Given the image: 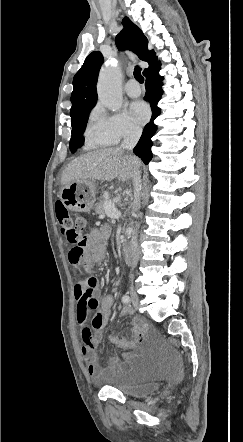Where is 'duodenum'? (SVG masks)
<instances>
[{
  "mask_svg": "<svg viewBox=\"0 0 243 442\" xmlns=\"http://www.w3.org/2000/svg\"><path fill=\"white\" fill-rule=\"evenodd\" d=\"M123 256L127 263H132V251L129 246H125L123 249Z\"/></svg>",
  "mask_w": 243,
  "mask_h": 442,
  "instance_id": "1",
  "label": "duodenum"
}]
</instances>
